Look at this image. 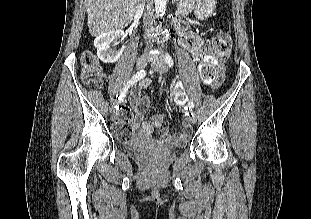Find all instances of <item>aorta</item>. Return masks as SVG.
Segmentation results:
<instances>
[{
	"label": "aorta",
	"mask_w": 311,
	"mask_h": 219,
	"mask_svg": "<svg viewBox=\"0 0 311 219\" xmlns=\"http://www.w3.org/2000/svg\"><path fill=\"white\" fill-rule=\"evenodd\" d=\"M155 12L158 18H162L165 15L167 0H154Z\"/></svg>",
	"instance_id": "762f6f07"
}]
</instances>
